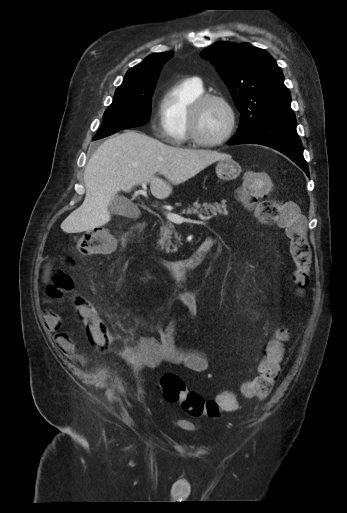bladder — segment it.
I'll use <instances>...</instances> for the list:
<instances>
[{"label": "bladder", "mask_w": 347, "mask_h": 513, "mask_svg": "<svg viewBox=\"0 0 347 513\" xmlns=\"http://www.w3.org/2000/svg\"><path fill=\"white\" fill-rule=\"evenodd\" d=\"M178 425L184 429L190 430L189 426L184 422H178Z\"/></svg>", "instance_id": "bladder-1"}]
</instances>
